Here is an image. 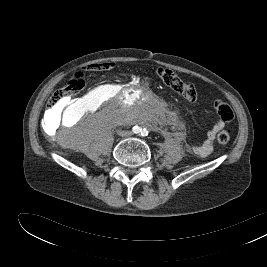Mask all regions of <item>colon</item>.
<instances>
[{
	"instance_id": "colon-1",
	"label": "colon",
	"mask_w": 267,
	"mask_h": 267,
	"mask_svg": "<svg viewBox=\"0 0 267 267\" xmlns=\"http://www.w3.org/2000/svg\"><path fill=\"white\" fill-rule=\"evenodd\" d=\"M113 63H102L94 65L93 69L108 70L112 68ZM157 76L167 87L175 91L188 102H194L197 99V91L193 84L183 81L177 74L167 68H159ZM85 85L84 75L82 73L75 74L68 83L58 89L49 100V108L53 109L64 101L70 99L78 93ZM214 110L219 118L224 122H229L234 117L232 107L223 100L214 102ZM230 135L227 130H222L217 135V142L224 146L228 144Z\"/></svg>"
}]
</instances>
